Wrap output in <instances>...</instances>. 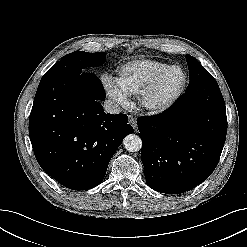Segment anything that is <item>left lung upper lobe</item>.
Segmentation results:
<instances>
[{
    "instance_id": "obj_1",
    "label": "left lung upper lobe",
    "mask_w": 247,
    "mask_h": 247,
    "mask_svg": "<svg viewBox=\"0 0 247 247\" xmlns=\"http://www.w3.org/2000/svg\"><path fill=\"white\" fill-rule=\"evenodd\" d=\"M186 61L189 68V78L190 81L200 79L203 75L210 74L194 57L191 55H186ZM190 84L185 92V94H192L193 91L190 89Z\"/></svg>"
}]
</instances>
